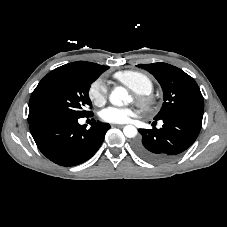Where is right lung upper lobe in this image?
<instances>
[{
	"label": "right lung upper lobe",
	"mask_w": 227,
	"mask_h": 227,
	"mask_svg": "<svg viewBox=\"0 0 227 227\" xmlns=\"http://www.w3.org/2000/svg\"><path fill=\"white\" fill-rule=\"evenodd\" d=\"M66 66L88 68V69H98V68L104 67L96 63L85 62V61H77V62L69 63V64H66Z\"/></svg>",
	"instance_id": "1"
}]
</instances>
